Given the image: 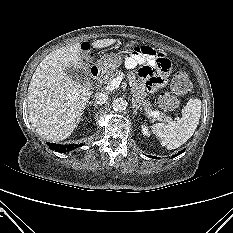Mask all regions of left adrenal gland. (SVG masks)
Masks as SVG:
<instances>
[{"instance_id": "left-adrenal-gland-1", "label": "left adrenal gland", "mask_w": 233, "mask_h": 233, "mask_svg": "<svg viewBox=\"0 0 233 233\" xmlns=\"http://www.w3.org/2000/svg\"><path fill=\"white\" fill-rule=\"evenodd\" d=\"M132 108H133V113L136 115L137 114V110L139 109L140 111L142 110V108L140 106H138L135 102V100L132 98Z\"/></svg>"}]
</instances>
